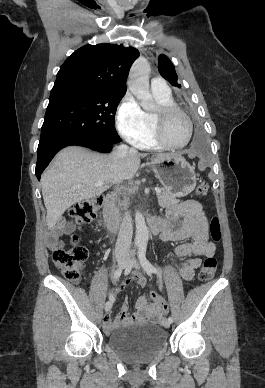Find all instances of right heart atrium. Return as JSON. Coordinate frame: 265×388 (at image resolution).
<instances>
[{
    "label": "right heart atrium",
    "mask_w": 265,
    "mask_h": 388,
    "mask_svg": "<svg viewBox=\"0 0 265 388\" xmlns=\"http://www.w3.org/2000/svg\"><path fill=\"white\" fill-rule=\"evenodd\" d=\"M117 121L122 135L131 141L140 138L148 128L146 112L130 94L122 99L118 107Z\"/></svg>",
    "instance_id": "obj_1"
}]
</instances>
